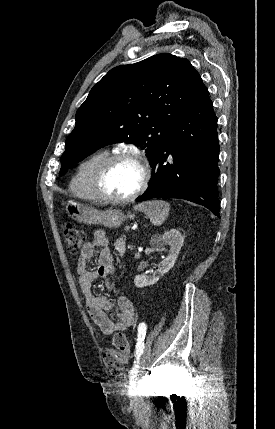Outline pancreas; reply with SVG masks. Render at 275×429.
Returning <instances> with one entry per match:
<instances>
[{"label":"pancreas","instance_id":"obj_1","mask_svg":"<svg viewBox=\"0 0 275 429\" xmlns=\"http://www.w3.org/2000/svg\"><path fill=\"white\" fill-rule=\"evenodd\" d=\"M114 246H115V250L119 253L120 256H122L126 251L124 236L117 239L116 242L114 243Z\"/></svg>","mask_w":275,"mask_h":429}]
</instances>
